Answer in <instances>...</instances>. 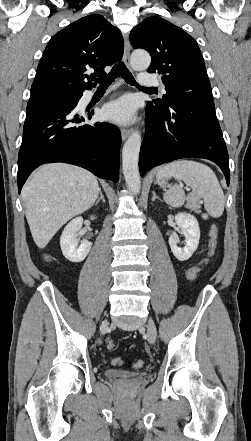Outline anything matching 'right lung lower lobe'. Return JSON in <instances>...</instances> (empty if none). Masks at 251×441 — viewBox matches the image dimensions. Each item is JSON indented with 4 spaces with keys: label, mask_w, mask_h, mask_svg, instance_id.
Listing matches in <instances>:
<instances>
[{
    "label": "right lung lower lobe",
    "mask_w": 251,
    "mask_h": 441,
    "mask_svg": "<svg viewBox=\"0 0 251 441\" xmlns=\"http://www.w3.org/2000/svg\"><path fill=\"white\" fill-rule=\"evenodd\" d=\"M81 96L29 99L18 156L19 193L31 172L44 163H70L100 178L119 180L121 133L108 123L83 124L92 112L77 113Z\"/></svg>",
    "instance_id": "1"
}]
</instances>
